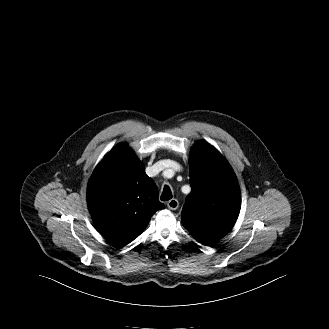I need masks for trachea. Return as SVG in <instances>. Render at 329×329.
<instances>
[{"label":"trachea","instance_id":"trachea-1","mask_svg":"<svg viewBox=\"0 0 329 329\" xmlns=\"http://www.w3.org/2000/svg\"><path fill=\"white\" fill-rule=\"evenodd\" d=\"M172 192L171 189L169 188V186L165 185L162 195H161V201H168L172 198Z\"/></svg>","mask_w":329,"mask_h":329}]
</instances>
